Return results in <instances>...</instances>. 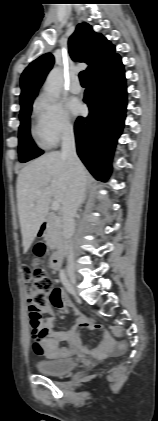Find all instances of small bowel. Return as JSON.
<instances>
[{
    "label": "small bowel",
    "mask_w": 158,
    "mask_h": 421,
    "mask_svg": "<svg viewBox=\"0 0 158 421\" xmlns=\"http://www.w3.org/2000/svg\"><path fill=\"white\" fill-rule=\"evenodd\" d=\"M73 309L72 302L61 288L52 289L48 303L39 310L41 314L49 315V318L40 319L36 324L30 322L34 339L33 349L37 354L50 359L66 357L71 349L60 346L62 342L68 341L73 348H78L80 346L78 330L96 329L95 324L81 312H75L76 322L73 327L66 331L56 329V311L70 312ZM111 345V337L105 334L100 338L96 352L104 354L110 350Z\"/></svg>",
    "instance_id": "small-bowel-1"
}]
</instances>
